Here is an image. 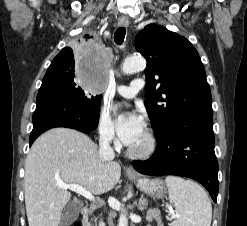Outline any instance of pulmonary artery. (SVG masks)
Masks as SVG:
<instances>
[{
	"mask_svg": "<svg viewBox=\"0 0 247 226\" xmlns=\"http://www.w3.org/2000/svg\"><path fill=\"white\" fill-rule=\"evenodd\" d=\"M144 81L141 78L134 79L129 85H117L118 94L125 98H134L143 88Z\"/></svg>",
	"mask_w": 247,
	"mask_h": 226,
	"instance_id": "obj_1",
	"label": "pulmonary artery"
}]
</instances>
